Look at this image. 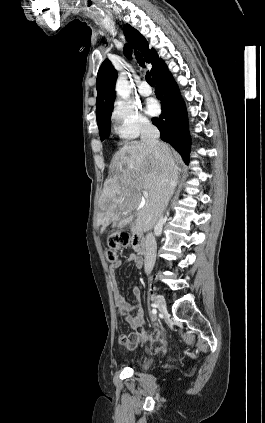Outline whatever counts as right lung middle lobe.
<instances>
[{
	"mask_svg": "<svg viewBox=\"0 0 265 423\" xmlns=\"http://www.w3.org/2000/svg\"><path fill=\"white\" fill-rule=\"evenodd\" d=\"M111 112L105 116L101 123L98 124L99 134L101 141L107 139L110 135V127H111Z\"/></svg>",
	"mask_w": 265,
	"mask_h": 423,
	"instance_id": "dd1d6c3e",
	"label": "right lung middle lobe"
}]
</instances>
